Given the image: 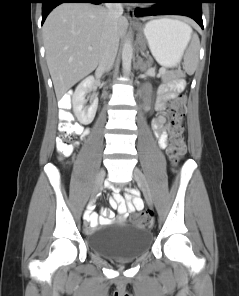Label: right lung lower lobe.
<instances>
[{"instance_id": "1", "label": "right lung lower lobe", "mask_w": 239, "mask_h": 296, "mask_svg": "<svg viewBox=\"0 0 239 296\" xmlns=\"http://www.w3.org/2000/svg\"><path fill=\"white\" fill-rule=\"evenodd\" d=\"M111 0H41L42 3V24L47 15L61 3H93L100 4Z\"/></svg>"}]
</instances>
